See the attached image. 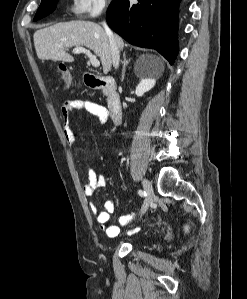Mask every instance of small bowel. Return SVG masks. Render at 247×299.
Returning <instances> with one entry per match:
<instances>
[{
	"label": "small bowel",
	"mask_w": 247,
	"mask_h": 299,
	"mask_svg": "<svg viewBox=\"0 0 247 299\" xmlns=\"http://www.w3.org/2000/svg\"><path fill=\"white\" fill-rule=\"evenodd\" d=\"M73 110H84L91 115L98 118L99 121H105L108 118L109 112L107 108L101 104L90 100H69L65 101L61 107V120L63 125V133L67 142L71 145L76 143V138L73 130L70 127V113ZM107 184L106 178L103 175L98 174L93 168L87 169V180L83 185V192L86 196H91L97 188L105 187ZM104 209L100 211L94 203H90L89 208L94 215L98 226L109 237H115L119 234V226H123L132 221L135 217V213L122 215L118 218V224H109L110 217L115 210V203L112 200H106L104 202ZM138 228L128 231L129 234L137 231Z\"/></svg>",
	"instance_id": "small-bowel-1"
}]
</instances>
